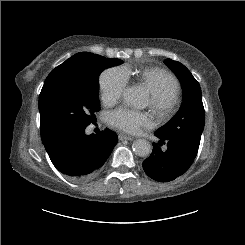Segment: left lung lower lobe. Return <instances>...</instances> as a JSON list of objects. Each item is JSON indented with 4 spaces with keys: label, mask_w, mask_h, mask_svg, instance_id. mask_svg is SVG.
<instances>
[{
    "label": "left lung lower lobe",
    "mask_w": 245,
    "mask_h": 245,
    "mask_svg": "<svg viewBox=\"0 0 245 245\" xmlns=\"http://www.w3.org/2000/svg\"><path fill=\"white\" fill-rule=\"evenodd\" d=\"M159 143H153L151 155L144 160L143 169L152 179L159 182H168L183 175L194 162L198 148L194 144L176 138H167L154 133ZM167 145L166 150L161 146Z\"/></svg>",
    "instance_id": "1"
}]
</instances>
